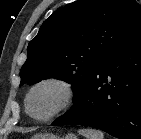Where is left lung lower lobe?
I'll return each mask as SVG.
<instances>
[{"label": "left lung lower lobe", "mask_w": 141, "mask_h": 139, "mask_svg": "<svg viewBox=\"0 0 141 139\" xmlns=\"http://www.w3.org/2000/svg\"><path fill=\"white\" fill-rule=\"evenodd\" d=\"M66 124L141 139V28L107 54L70 110L52 123Z\"/></svg>", "instance_id": "0a47b994"}]
</instances>
